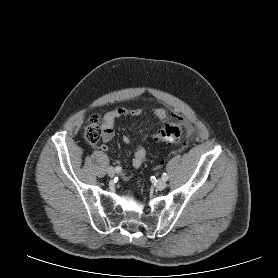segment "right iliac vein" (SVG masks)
Masks as SVG:
<instances>
[{"label":"right iliac vein","mask_w":278,"mask_h":278,"mask_svg":"<svg viewBox=\"0 0 278 278\" xmlns=\"http://www.w3.org/2000/svg\"><path fill=\"white\" fill-rule=\"evenodd\" d=\"M115 169L113 168V167H109L108 169H107V174H108V176L109 177H114L115 176Z\"/></svg>","instance_id":"63e3f726"}]
</instances>
